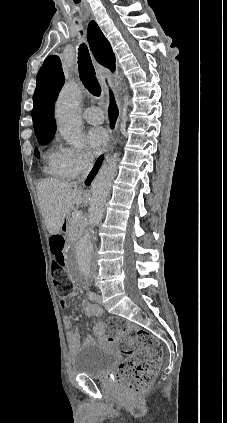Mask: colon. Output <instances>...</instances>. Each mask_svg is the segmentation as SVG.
<instances>
[{"label":"colon","mask_w":227,"mask_h":423,"mask_svg":"<svg viewBox=\"0 0 227 423\" xmlns=\"http://www.w3.org/2000/svg\"><path fill=\"white\" fill-rule=\"evenodd\" d=\"M65 240L61 235L50 238L52 274L58 292L63 296L71 295L74 286L65 270L63 255ZM109 324L115 329L122 351L127 358L117 371L118 381L128 395H138L146 391L153 383L162 362V347L159 341L147 330L110 319Z\"/></svg>","instance_id":"colon-1"}]
</instances>
